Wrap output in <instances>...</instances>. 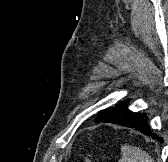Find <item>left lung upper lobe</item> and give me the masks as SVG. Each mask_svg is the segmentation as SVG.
Segmentation results:
<instances>
[{"mask_svg": "<svg viewBox=\"0 0 168 162\" xmlns=\"http://www.w3.org/2000/svg\"><path fill=\"white\" fill-rule=\"evenodd\" d=\"M103 111V110H102ZM102 111H100L98 114H97V118L96 119H99L101 117V113Z\"/></svg>", "mask_w": 168, "mask_h": 162, "instance_id": "obj_1", "label": "left lung upper lobe"}]
</instances>
